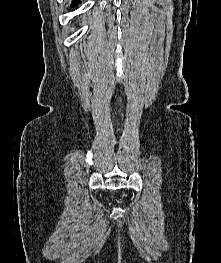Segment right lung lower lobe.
I'll return each instance as SVG.
<instances>
[{
    "mask_svg": "<svg viewBox=\"0 0 221 263\" xmlns=\"http://www.w3.org/2000/svg\"><path fill=\"white\" fill-rule=\"evenodd\" d=\"M79 2H80V0H74L71 6L72 7L77 6L79 4Z\"/></svg>",
    "mask_w": 221,
    "mask_h": 263,
    "instance_id": "obj_1",
    "label": "right lung lower lobe"
}]
</instances>
